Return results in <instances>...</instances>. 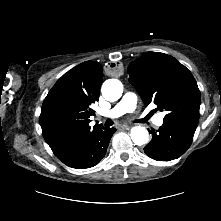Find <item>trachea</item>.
Returning a JSON list of instances; mask_svg holds the SVG:
<instances>
[{"label": "trachea", "mask_w": 221, "mask_h": 221, "mask_svg": "<svg viewBox=\"0 0 221 221\" xmlns=\"http://www.w3.org/2000/svg\"><path fill=\"white\" fill-rule=\"evenodd\" d=\"M145 119L148 120L147 117H146ZM112 124H113V122H112V120H110V119L105 122V125H106V126H110V125H112Z\"/></svg>", "instance_id": "obj_1"}]
</instances>
